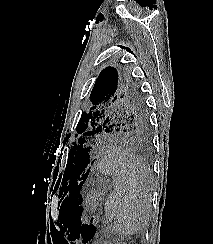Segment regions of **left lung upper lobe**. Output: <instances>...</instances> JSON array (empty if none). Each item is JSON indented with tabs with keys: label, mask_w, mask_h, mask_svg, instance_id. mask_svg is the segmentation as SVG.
<instances>
[{
	"label": "left lung upper lobe",
	"mask_w": 213,
	"mask_h": 244,
	"mask_svg": "<svg viewBox=\"0 0 213 244\" xmlns=\"http://www.w3.org/2000/svg\"><path fill=\"white\" fill-rule=\"evenodd\" d=\"M92 107L83 112L76 128L79 144L73 145L63 176L61 191L78 186L90 162V150L83 147L91 137L104 133L147 138L150 133L145 99L137 82L123 69L107 67L99 74L90 94Z\"/></svg>",
	"instance_id": "5c2ea615"
}]
</instances>
